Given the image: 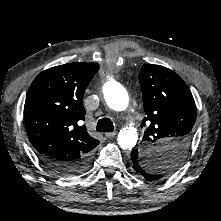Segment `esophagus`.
<instances>
[{
    "label": "esophagus",
    "instance_id": "34e87169",
    "mask_svg": "<svg viewBox=\"0 0 221 221\" xmlns=\"http://www.w3.org/2000/svg\"><path fill=\"white\" fill-rule=\"evenodd\" d=\"M116 134H117L116 132H110V133H105V136H106L107 138L111 139V138L115 137Z\"/></svg>",
    "mask_w": 221,
    "mask_h": 221
}]
</instances>
